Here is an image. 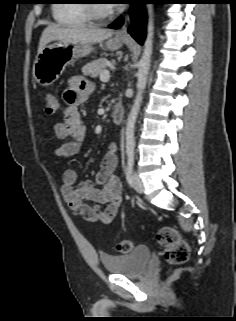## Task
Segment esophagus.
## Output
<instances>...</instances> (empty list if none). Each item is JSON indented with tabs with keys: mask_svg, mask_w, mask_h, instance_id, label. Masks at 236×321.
<instances>
[{
	"mask_svg": "<svg viewBox=\"0 0 236 321\" xmlns=\"http://www.w3.org/2000/svg\"><path fill=\"white\" fill-rule=\"evenodd\" d=\"M130 17L129 15L125 16V23L122 26L121 30L117 33L116 37L118 39H125L129 37V34L127 32V27H128V23H129Z\"/></svg>",
	"mask_w": 236,
	"mask_h": 321,
	"instance_id": "1",
	"label": "esophagus"
}]
</instances>
